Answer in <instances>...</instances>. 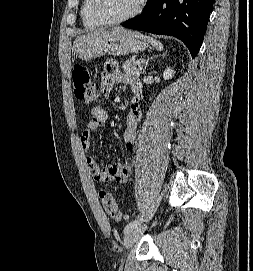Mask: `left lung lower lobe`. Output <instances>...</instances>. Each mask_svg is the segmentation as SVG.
<instances>
[{
	"label": "left lung lower lobe",
	"instance_id": "1",
	"mask_svg": "<svg viewBox=\"0 0 253 271\" xmlns=\"http://www.w3.org/2000/svg\"><path fill=\"white\" fill-rule=\"evenodd\" d=\"M214 0H149L144 11L123 27L171 35L180 39L194 58L203 42Z\"/></svg>",
	"mask_w": 253,
	"mask_h": 271
}]
</instances>
